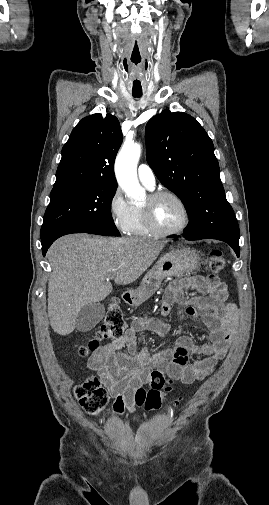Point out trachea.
<instances>
[{"label":"trachea","mask_w":269,"mask_h":505,"mask_svg":"<svg viewBox=\"0 0 269 505\" xmlns=\"http://www.w3.org/2000/svg\"><path fill=\"white\" fill-rule=\"evenodd\" d=\"M133 97H141L142 96V92H133L132 93Z\"/></svg>","instance_id":"trachea-1"}]
</instances>
